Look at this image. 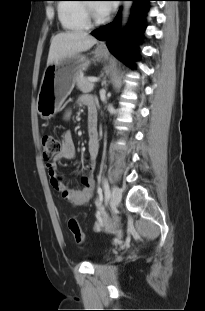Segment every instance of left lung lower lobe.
Listing matches in <instances>:
<instances>
[{"instance_id":"1","label":"left lung lower lobe","mask_w":205,"mask_h":311,"mask_svg":"<svg viewBox=\"0 0 205 311\" xmlns=\"http://www.w3.org/2000/svg\"><path fill=\"white\" fill-rule=\"evenodd\" d=\"M134 1L132 7V14L128 26L127 34L125 35V40L121 45V52L124 51L125 57H131L130 48L133 47L141 38L142 32L144 30V17L147 14L148 6L147 2L152 0H128ZM119 24H120V13L117 15L115 20L99 29L92 32L99 40H107V47L113 55H116L118 46L117 38L119 35ZM127 63H130V59H126Z\"/></svg>"}]
</instances>
